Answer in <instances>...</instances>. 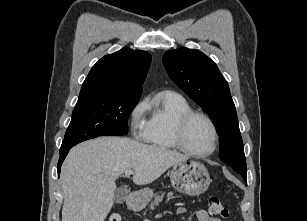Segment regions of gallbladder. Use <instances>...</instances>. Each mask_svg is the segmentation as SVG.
I'll return each instance as SVG.
<instances>
[{
    "label": "gallbladder",
    "mask_w": 307,
    "mask_h": 221,
    "mask_svg": "<svg viewBox=\"0 0 307 221\" xmlns=\"http://www.w3.org/2000/svg\"><path fill=\"white\" fill-rule=\"evenodd\" d=\"M126 189L125 188H119L115 191L114 200L116 203H123L126 200Z\"/></svg>",
    "instance_id": "obj_1"
}]
</instances>
